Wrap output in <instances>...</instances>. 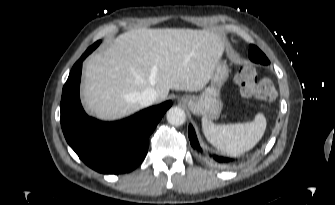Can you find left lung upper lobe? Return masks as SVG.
I'll list each match as a JSON object with an SVG mask.
<instances>
[{
	"label": "left lung upper lobe",
	"instance_id": "left-lung-upper-lobe-1",
	"mask_svg": "<svg viewBox=\"0 0 335 205\" xmlns=\"http://www.w3.org/2000/svg\"><path fill=\"white\" fill-rule=\"evenodd\" d=\"M249 58L251 61L263 65H269L270 62L265 54L255 45H250Z\"/></svg>",
	"mask_w": 335,
	"mask_h": 205
}]
</instances>
